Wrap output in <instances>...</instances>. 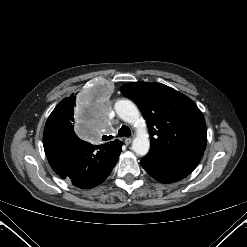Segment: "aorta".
<instances>
[{
	"label": "aorta",
	"mask_w": 247,
	"mask_h": 247,
	"mask_svg": "<svg viewBox=\"0 0 247 247\" xmlns=\"http://www.w3.org/2000/svg\"><path fill=\"white\" fill-rule=\"evenodd\" d=\"M114 109L116 114L125 122L137 125V134L132 143V150L140 156H145L150 149V141L146 131V123L140 118V113L135 104L130 100H118Z\"/></svg>",
	"instance_id": "1"
}]
</instances>
